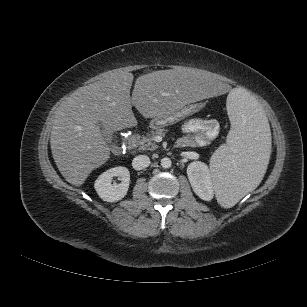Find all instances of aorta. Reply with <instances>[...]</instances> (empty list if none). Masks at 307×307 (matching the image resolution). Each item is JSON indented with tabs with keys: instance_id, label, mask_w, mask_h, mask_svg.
I'll return each instance as SVG.
<instances>
[{
	"instance_id": "aorta-1",
	"label": "aorta",
	"mask_w": 307,
	"mask_h": 307,
	"mask_svg": "<svg viewBox=\"0 0 307 307\" xmlns=\"http://www.w3.org/2000/svg\"><path fill=\"white\" fill-rule=\"evenodd\" d=\"M171 165H172V161L170 158L165 157L161 159V166L163 168H170Z\"/></svg>"
}]
</instances>
